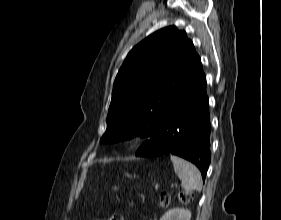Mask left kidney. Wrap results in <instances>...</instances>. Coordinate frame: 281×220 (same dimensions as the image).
<instances>
[{"label": "left kidney", "instance_id": "1", "mask_svg": "<svg viewBox=\"0 0 281 220\" xmlns=\"http://www.w3.org/2000/svg\"><path fill=\"white\" fill-rule=\"evenodd\" d=\"M191 212L184 208L169 209L160 220H190Z\"/></svg>", "mask_w": 281, "mask_h": 220}]
</instances>
